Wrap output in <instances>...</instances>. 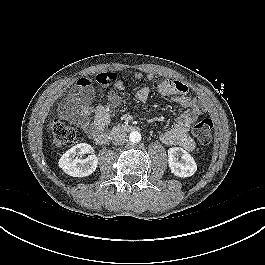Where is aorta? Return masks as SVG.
<instances>
[{"label": "aorta", "mask_w": 265, "mask_h": 265, "mask_svg": "<svg viewBox=\"0 0 265 265\" xmlns=\"http://www.w3.org/2000/svg\"><path fill=\"white\" fill-rule=\"evenodd\" d=\"M129 140L132 143H138L141 140V134L138 131H132L129 134Z\"/></svg>", "instance_id": "aorta-1"}]
</instances>
